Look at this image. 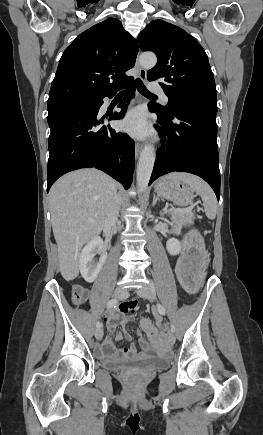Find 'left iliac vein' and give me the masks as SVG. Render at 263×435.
Here are the masks:
<instances>
[{"label": "left iliac vein", "mask_w": 263, "mask_h": 435, "mask_svg": "<svg viewBox=\"0 0 263 435\" xmlns=\"http://www.w3.org/2000/svg\"><path fill=\"white\" fill-rule=\"evenodd\" d=\"M136 293H137L140 297L146 298V299H148V300H150V301H153V300H154L153 292H152L151 288H150L149 286H147V285H145V286H143L142 288L138 289V290L136 291ZM175 340H176V338H175L174 333H173V332H170V333H169V336H168V342H169L170 344H174V343H175Z\"/></svg>", "instance_id": "4c4485c4"}]
</instances>
